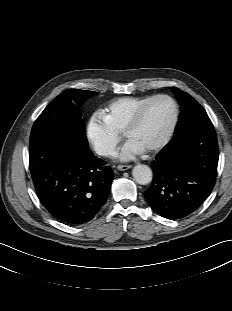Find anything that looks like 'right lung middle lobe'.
Segmentation results:
<instances>
[{
  "instance_id": "1",
  "label": "right lung middle lobe",
  "mask_w": 232,
  "mask_h": 311,
  "mask_svg": "<svg viewBox=\"0 0 232 311\" xmlns=\"http://www.w3.org/2000/svg\"><path fill=\"white\" fill-rule=\"evenodd\" d=\"M95 94L97 92L67 89L58 95L35 121L30 141L48 135L62 134L88 147L80 106L87 98Z\"/></svg>"
}]
</instances>
